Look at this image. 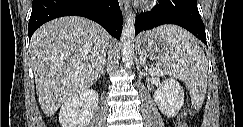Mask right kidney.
I'll return each mask as SVG.
<instances>
[{"label": "right kidney", "instance_id": "obj_1", "mask_svg": "<svg viewBox=\"0 0 243 127\" xmlns=\"http://www.w3.org/2000/svg\"><path fill=\"white\" fill-rule=\"evenodd\" d=\"M98 92L94 89L83 90L66 100L59 112L62 127H86L98 107Z\"/></svg>", "mask_w": 243, "mask_h": 127}]
</instances>
